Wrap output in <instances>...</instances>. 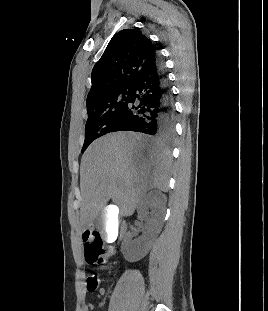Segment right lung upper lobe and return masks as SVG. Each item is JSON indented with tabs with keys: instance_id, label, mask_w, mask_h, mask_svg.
<instances>
[{
	"instance_id": "cb5924a9",
	"label": "right lung upper lobe",
	"mask_w": 268,
	"mask_h": 311,
	"mask_svg": "<svg viewBox=\"0 0 268 311\" xmlns=\"http://www.w3.org/2000/svg\"><path fill=\"white\" fill-rule=\"evenodd\" d=\"M156 56L157 48L138 30L124 29L116 33L92 70L86 106L116 90L132 87L153 66Z\"/></svg>"
}]
</instances>
